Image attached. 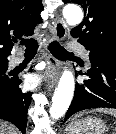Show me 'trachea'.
<instances>
[{"label":"trachea","instance_id":"obj_1","mask_svg":"<svg viewBox=\"0 0 116 134\" xmlns=\"http://www.w3.org/2000/svg\"><path fill=\"white\" fill-rule=\"evenodd\" d=\"M20 45L25 46V55H35L39 47L38 42L35 39H22ZM48 48L53 56L58 59L73 56V53L68 52L56 41L50 43Z\"/></svg>","mask_w":116,"mask_h":134}]
</instances>
